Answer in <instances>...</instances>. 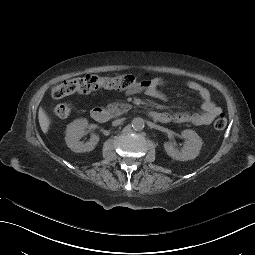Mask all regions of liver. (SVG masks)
<instances>
[{"label":"liver","instance_id":"obj_1","mask_svg":"<svg viewBox=\"0 0 255 255\" xmlns=\"http://www.w3.org/2000/svg\"><path fill=\"white\" fill-rule=\"evenodd\" d=\"M38 119H39V124H40L43 134L47 135L50 131L51 126H52V118L45 111L43 106H40V108H39Z\"/></svg>","mask_w":255,"mask_h":255}]
</instances>
